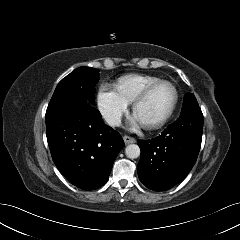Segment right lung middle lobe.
I'll use <instances>...</instances> for the list:
<instances>
[{"instance_id":"right-lung-middle-lobe-1","label":"right lung middle lobe","mask_w":240,"mask_h":240,"mask_svg":"<svg viewBox=\"0 0 240 240\" xmlns=\"http://www.w3.org/2000/svg\"><path fill=\"white\" fill-rule=\"evenodd\" d=\"M99 80V70L79 67L63 78L57 85L47 111L65 106L94 103L95 85Z\"/></svg>"}]
</instances>
